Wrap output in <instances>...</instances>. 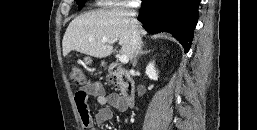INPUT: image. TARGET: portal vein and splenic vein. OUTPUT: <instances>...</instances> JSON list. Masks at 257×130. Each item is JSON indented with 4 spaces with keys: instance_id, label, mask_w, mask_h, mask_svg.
<instances>
[{
    "instance_id": "18ae733b",
    "label": "portal vein and splenic vein",
    "mask_w": 257,
    "mask_h": 130,
    "mask_svg": "<svg viewBox=\"0 0 257 130\" xmlns=\"http://www.w3.org/2000/svg\"><path fill=\"white\" fill-rule=\"evenodd\" d=\"M102 42H103V43H106L107 40H103ZM119 60H120L121 63H128L129 58H128V56H126V55H121V56H119Z\"/></svg>"
}]
</instances>
